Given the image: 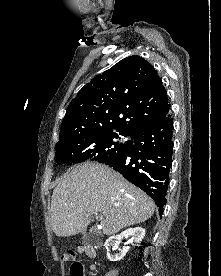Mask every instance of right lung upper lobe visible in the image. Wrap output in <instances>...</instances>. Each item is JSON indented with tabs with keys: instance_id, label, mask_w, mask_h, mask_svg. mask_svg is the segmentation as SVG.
Returning <instances> with one entry per match:
<instances>
[{
	"instance_id": "1",
	"label": "right lung upper lobe",
	"mask_w": 221,
	"mask_h": 276,
	"mask_svg": "<svg viewBox=\"0 0 221 276\" xmlns=\"http://www.w3.org/2000/svg\"><path fill=\"white\" fill-rule=\"evenodd\" d=\"M167 92L155 68L133 55L94 77L64 116L59 142L98 132L132 134L169 113Z\"/></svg>"
}]
</instances>
